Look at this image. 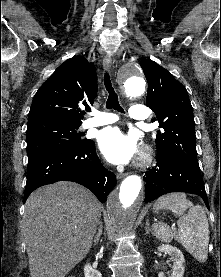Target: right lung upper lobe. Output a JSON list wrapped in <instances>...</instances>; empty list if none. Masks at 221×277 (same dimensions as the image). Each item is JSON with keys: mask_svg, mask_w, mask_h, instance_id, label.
<instances>
[{"mask_svg": "<svg viewBox=\"0 0 221 277\" xmlns=\"http://www.w3.org/2000/svg\"><path fill=\"white\" fill-rule=\"evenodd\" d=\"M96 95L95 66L81 56L68 59L35 94L28 125L50 122L81 125L79 106L93 105Z\"/></svg>", "mask_w": 221, "mask_h": 277, "instance_id": "cb5924a9", "label": "right lung upper lobe"}]
</instances>
